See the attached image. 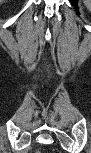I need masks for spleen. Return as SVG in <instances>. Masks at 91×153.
I'll use <instances>...</instances> for the list:
<instances>
[{"label":"spleen","instance_id":"spleen-1","mask_svg":"<svg viewBox=\"0 0 91 153\" xmlns=\"http://www.w3.org/2000/svg\"><path fill=\"white\" fill-rule=\"evenodd\" d=\"M85 5H86L87 7H89L90 1H85Z\"/></svg>","mask_w":91,"mask_h":153}]
</instances>
